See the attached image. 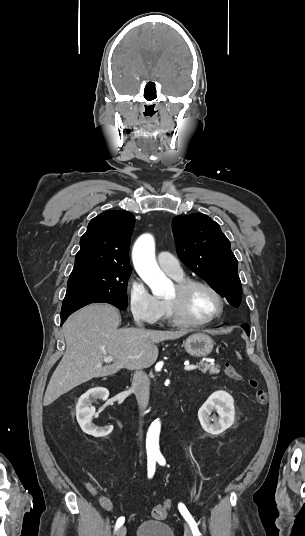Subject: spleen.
Returning a JSON list of instances; mask_svg holds the SVG:
<instances>
[{
  "label": "spleen",
  "instance_id": "1",
  "mask_svg": "<svg viewBox=\"0 0 305 536\" xmlns=\"http://www.w3.org/2000/svg\"><path fill=\"white\" fill-rule=\"evenodd\" d=\"M236 354H237V356H238L239 360H242V358H241V356H240L239 352H236Z\"/></svg>",
  "mask_w": 305,
  "mask_h": 536
}]
</instances>
